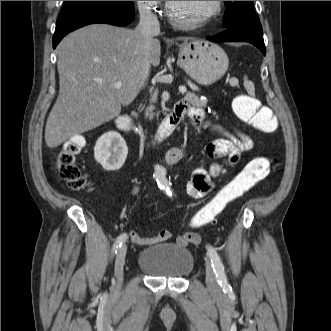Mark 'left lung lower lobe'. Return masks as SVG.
Wrapping results in <instances>:
<instances>
[{
    "label": "left lung lower lobe",
    "instance_id": "0a47b994",
    "mask_svg": "<svg viewBox=\"0 0 331 331\" xmlns=\"http://www.w3.org/2000/svg\"><path fill=\"white\" fill-rule=\"evenodd\" d=\"M208 39L210 41L249 42L265 55V44L260 21L227 28L224 32Z\"/></svg>",
    "mask_w": 331,
    "mask_h": 331
}]
</instances>
